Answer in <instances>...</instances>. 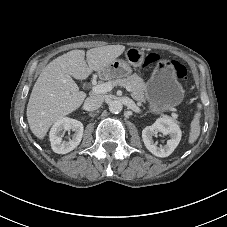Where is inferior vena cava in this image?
<instances>
[{"label":"inferior vena cava","instance_id":"602c4592","mask_svg":"<svg viewBox=\"0 0 227 227\" xmlns=\"http://www.w3.org/2000/svg\"><path fill=\"white\" fill-rule=\"evenodd\" d=\"M103 100V97L100 95L90 96L84 102V109L87 111L97 110L102 105Z\"/></svg>","mask_w":227,"mask_h":227}]
</instances>
